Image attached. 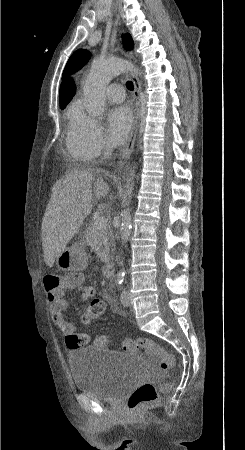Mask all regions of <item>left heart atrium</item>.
Returning a JSON list of instances; mask_svg holds the SVG:
<instances>
[{
    "label": "left heart atrium",
    "instance_id": "left-heart-atrium-1",
    "mask_svg": "<svg viewBox=\"0 0 245 450\" xmlns=\"http://www.w3.org/2000/svg\"><path fill=\"white\" fill-rule=\"evenodd\" d=\"M132 122V112L127 106H117L108 112L107 132L113 145H120L127 139Z\"/></svg>",
    "mask_w": 245,
    "mask_h": 450
}]
</instances>
